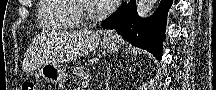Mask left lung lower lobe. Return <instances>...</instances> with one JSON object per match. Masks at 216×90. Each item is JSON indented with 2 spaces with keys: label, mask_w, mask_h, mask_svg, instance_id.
Returning <instances> with one entry per match:
<instances>
[{
  "label": "left lung lower lobe",
  "mask_w": 216,
  "mask_h": 90,
  "mask_svg": "<svg viewBox=\"0 0 216 90\" xmlns=\"http://www.w3.org/2000/svg\"><path fill=\"white\" fill-rule=\"evenodd\" d=\"M172 2V0H161L158 9L149 18L138 16L135 0L124 2L101 25L107 29H116L118 34L132 45L146 49L161 59L167 13Z\"/></svg>",
  "instance_id": "0a47b994"
}]
</instances>
